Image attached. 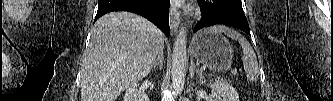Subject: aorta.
<instances>
[{"label":"aorta","mask_w":333,"mask_h":101,"mask_svg":"<svg viewBox=\"0 0 333 101\" xmlns=\"http://www.w3.org/2000/svg\"><path fill=\"white\" fill-rule=\"evenodd\" d=\"M186 56V32L181 29L174 42L172 53V86L177 93H181L184 88Z\"/></svg>","instance_id":"762f6f07"}]
</instances>
